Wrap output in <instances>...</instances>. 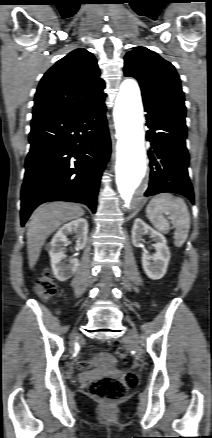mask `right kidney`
<instances>
[{
    "label": "right kidney",
    "mask_w": 212,
    "mask_h": 438,
    "mask_svg": "<svg viewBox=\"0 0 212 438\" xmlns=\"http://www.w3.org/2000/svg\"><path fill=\"white\" fill-rule=\"evenodd\" d=\"M75 234L77 238L76 250L83 249L87 243L88 222L84 218L73 220L62 226L53 236L50 246L49 255L51 266L55 277L60 281H66L71 278L79 266L78 259H71L66 263L65 247L68 244L67 236Z\"/></svg>",
    "instance_id": "1"
}]
</instances>
